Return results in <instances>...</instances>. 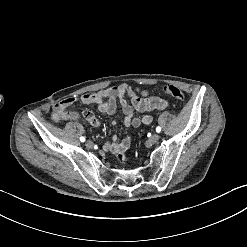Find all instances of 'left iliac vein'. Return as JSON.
I'll use <instances>...</instances> for the list:
<instances>
[{
	"mask_svg": "<svg viewBox=\"0 0 247 247\" xmlns=\"http://www.w3.org/2000/svg\"><path fill=\"white\" fill-rule=\"evenodd\" d=\"M159 140V134L158 133H155L152 135V137L148 140V143L149 144H154V143H157Z\"/></svg>",
	"mask_w": 247,
	"mask_h": 247,
	"instance_id": "4c4485c4",
	"label": "left iliac vein"
}]
</instances>
